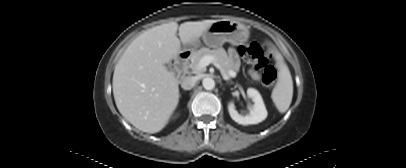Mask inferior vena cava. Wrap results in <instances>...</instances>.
Segmentation results:
<instances>
[{
  "mask_svg": "<svg viewBox=\"0 0 406 168\" xmlns=\"http://www.w3.org/2000/svg\"><path fill=\"white\" fill-rule=\"evenodd\" d=\"M196 84V78L193 76H189V77H185L182 81H181V87L184 90H190L192 89Z\"/></svg>",
  "mask_w": 406,
  "mask_h": 168,
  "instance_id": "1",
  "label": "inferior vena cava"
}]
</instances>
